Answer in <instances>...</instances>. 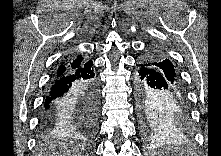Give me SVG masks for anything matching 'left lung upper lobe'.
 <instances>
[{
	"label": "left lung upper lobe",
	"instance_id": "obj_1",
	"mask_svg": "<svg viewBox=\"0 0 221 156\" xmlns=\"http://www.w3.org/2000/svg\"><path fill=\"white\" fill-rule=\"evenodd\" d=\"M141 60L143 62L152 64L156 67L171 71L176 77L177 84H178L183 96H186L184 88H183V84L180 80V77H179V74H178L176 68L174 67L173 63L169 59L165 58L164 54L161 51H159V49L158 50H151L149 53L144 55L141 58ZM185 98H187V97H185Z\"/></svg>",
	"mask_w": 221,
	"mask_h": 156
}]
</instances>
